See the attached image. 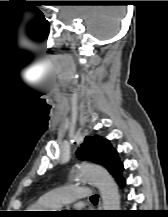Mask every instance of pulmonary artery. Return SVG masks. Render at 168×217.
I'll return each instance as SVG.
<instances>
[{
	"mask_svg": "<svg viewBox=\"0 0 168 217\" xmlns=\"http://www.w3.org/2000/svg\"><path fill=\"white\" fill-rule=\"evenodd\" d=\"M91 196V189L79 185H67L45 192L40 200L50 209H59L74 201Z\"/></svg>",
	"mask_w": 168,
	"mask_h": 217,
	"instance_id": "pulmonary-artery-1",
	"label": "pulmonary artery"
}]
</instances>
